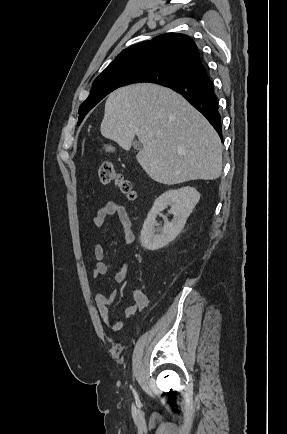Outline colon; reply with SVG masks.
<instances>
[{"label":"colon","mask_w":287,"mask_h":434,"mask_svg":"<svg viewBox=\"0 0 287 434\" xmlns=\"http://www.w3.org/2000/svg\"><path fill=\"white\" fill-rule=\"evenodd\" d=\"M98 176L103 184H112L119 188L129 199L136 197V192L130 180L119 172L113 163L103 162L98 168Z\"/></svg>","instance_id":"5ec220e1"}]
</instances>
